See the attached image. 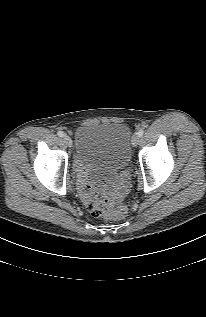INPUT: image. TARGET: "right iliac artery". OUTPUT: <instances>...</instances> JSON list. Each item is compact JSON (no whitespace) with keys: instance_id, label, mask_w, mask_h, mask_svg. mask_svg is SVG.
Here are the masks:
<instances>
[{"instance_id":"obj_1","label":"right iliac artery","mask_w":206,"mask_h":317,"mask_svg":"<svg viewBox=\"0 0 206 317\" xmlns=\"http://www.w3.org/2000/svg\"><path fill=\"white\" fill-rule=\"evenodd\" d=\"M57 135H58L59 137H63V136H64V132L58 131Z\"/></svg>"}]
</instances>
